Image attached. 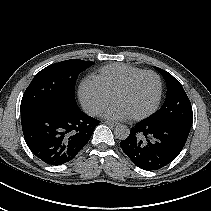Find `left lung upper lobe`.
Listing matches in <instances>:
<instances>
[{"label":"left lung upper lobe","mask_w":211,"mask_h":211,"mask_svg":"<svg viewBox=\"0 0 211 211\" xmlns=\"http://www.w3.org/2000/svg\"><path fill=\"white\" fill-rule=\"evenodd\" d=\"M167 84L166 100L160 110L148 117L152 123H169L190 130L193 122L192 106L182 85L167 71L158 67Z\"/></svg>","instance_id":"5c2ea615"}]
</instances>
